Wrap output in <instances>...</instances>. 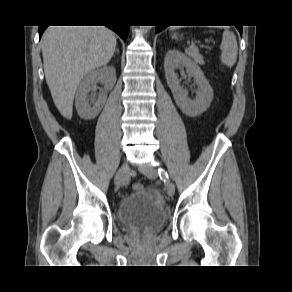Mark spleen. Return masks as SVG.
I'll return each instance as SVG.
<instances>
[{
    "instance_id": "spleen-1",
    "label": "spleen",
    "mask_w": 292,
    "mask_h": 292,
    "mask_svg": "<svg viewBox=\"0 0 292 292\" xmlns=\"http://www.w3.org/2000/svg\"><path fill=\"white\" fill-rule=\"evenodd\" d=\"M175 27H172L171 30H174ZM221 56L220 60L223 64L228 67H232L236 63L237 54H238V45L236 37L233 32L225 30L223 33V39L220 45Z\"/></svg>"
}]
</instances>
